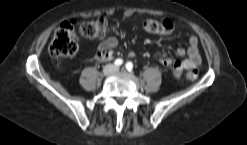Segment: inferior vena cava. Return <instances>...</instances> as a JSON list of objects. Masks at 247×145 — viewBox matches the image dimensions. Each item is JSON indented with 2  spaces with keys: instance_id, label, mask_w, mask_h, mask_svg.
I'll return each mask as SVG.
<instances>
[{
  "instance_id": "1",
  "label": "inferior vena cava",
  "mask_w": 247,
  "mask_h": 145,
  "mask_svg": "<svg viewBox=\"0 0 247 145\" xmlns=\"http://www.w3.org/2000/svg\"><path fill=\"white\" fill-rule=\"evenodd\" d=\"M109 66H112V67H114L113 65H107L106 67H109Z\"/></svg>"
}]
</instances>
